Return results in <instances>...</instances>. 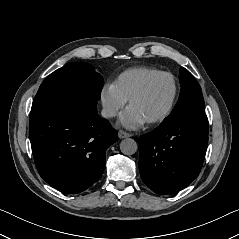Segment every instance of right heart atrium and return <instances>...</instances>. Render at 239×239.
I'll list each match as a JSON object with an SVG mask.
<instances>
[{"mask_svg": "<svg viewBox=\"0 0 239 239\" xmlns=\"http://www.w3.org/2000/svg\"><path fill=\"white\" fill-rule=\"evenodd\" d=\"M100 101L103 113L107 118L115 117L126 103L114 84L107 83L103 86L100 93Z\"/></svg>", "mask_w": 239, "mask_h": 239, "instance_id": "1", "label": "right heart atrium"}]
</instances>
